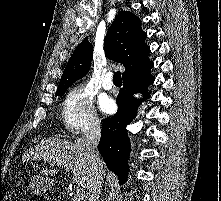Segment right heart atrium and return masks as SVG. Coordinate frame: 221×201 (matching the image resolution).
Here are the masks:
<instances>
[{
  "label": "right heart atrium",
  "instance_id": "right-heart-atrium-1",
  "mask_svg": "<svg viewBox=\"0 0 221 201\" xmlns=\"http://www.w3.org/2000/svg\"><path fill=\"white\" fill-rule=\"evenodd\" d=\"M61 121L65 129L77 133L99 126L100 119L96 112L92 94L83 86L72 87L62 102Z\"/></svg>",
  "mask_w": 221,
  "mask_h": 201
}]
</instances>
